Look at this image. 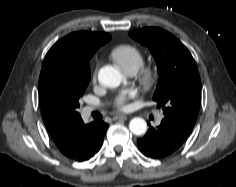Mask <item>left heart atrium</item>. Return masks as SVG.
<instances>
[{
    "instance_id": "obj_1",
    "label": "left heart atrium",
    "mask_w": 236,
    "mask_h": 187,
    "mask_svg": "<svg viewBox=\"0 0 236 187\" xmlns=\"http://www.w3.org/2000/svg\"><path fill=\"white\" fill-rule=\"evenodd\" d=\"M136 92L134 90H128L119 93L114 100V107L117 110L125 111L128 108V101L135 97Z\"/></svg>"
}]
</instances>
